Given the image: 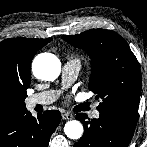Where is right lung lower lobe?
Here are the masks:
<instances>
[{
    "label": "right lung lower lobe",
    "instance_id": "1",
    "mask_svg": "<svg viewBox=\"0 0 147 147\" xmlns=\"http://www.w3.org/2000/svg\"><path fill=\"white\" fill-rule=\"evenodd\" d=\"M60 121L57 110L45 111L35 118L25 108L0 121V147H48Z\"/></svg>",
    "mask_w": 147,
    "mask_h": 147
}]
</instances>
